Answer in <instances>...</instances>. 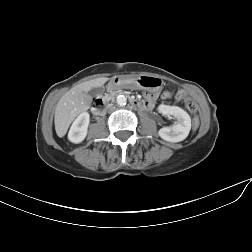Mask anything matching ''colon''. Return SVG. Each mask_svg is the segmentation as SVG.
<instances>
[{"instance_id": "5ec220e1", "label": "colon", "mask_w": 252, "mask_h": 252, "mask_svg": "<svg viewBox=\"0 0 252 252\" xmlns=\"http://www.w3.org/2000/svg\"><path fill=\"white\" fill-rule=\"evenodd\" d=\"M141 84L145 85L146 83L142 80ZM162 97L164 99H171L173 97V95L170 92H164L162 94ZM174 99L176 101L183 100L187 110L190 113L195 115L194 118H193V128L196 129L198 127V125H199V119L196 116V113H197V110H198L196 103L194 101H192L191 99L184 97L181 93H176V95L174 96Z\"/></svg>"}]
</instances>
